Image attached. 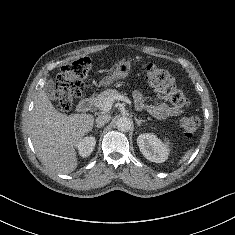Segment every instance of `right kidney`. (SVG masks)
<instances>
[{
    "label": "right kidney",
    "mask_w": 235,
    "mask_h": 235,
    "mask_svg": "<svg viewBox=\"0 0 235 235\" xmlns=\"http://www.w3.org/2000/svg\"><path fill=\"white\" fill-rule=\"evenodd\" d=\"M96 144V139L93 136L85 137L77 144V148L79 151L80 156L88 157Z\"/></svg>",
    "instance_id": "ca27d5eb"
}]
</instances>
